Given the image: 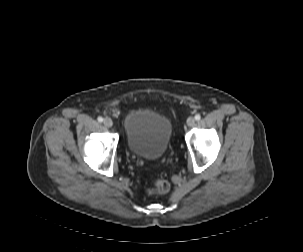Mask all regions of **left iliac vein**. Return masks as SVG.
<instances>
[{"label": "left iliac vein", "mask_w": 303, "mask_h": 252, "mask_svg": "<svg viewBox=\"0 0 303 252\" xmlns=\"http://www.w3.org/2000/svg\"><path fill=\"white\" fill-rule=\"evenodd\" d=\"M195 123H196V120H195L194 117H189V118L187 119V125H188L189 127H193V126L195 125Z\"/></svg>", "instance_id": "obj_1"}]
</instances>
